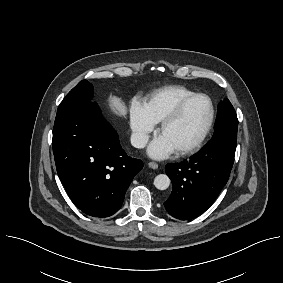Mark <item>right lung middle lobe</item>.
<instances>
[{
    "mask_svg": "<svg viewBox=\"0 0 283 283\" xmlns=\"http://www.w3.org/2000/svg\"><path fill=\"white\" fill-rule=\"evenodd\" d=\"M93 95V86L87 80L79 82L61 102L57 113L69 109L78 104L88 102Z\"/></svg>",
    "mask_w": 283,
    "mask_h": 283,
    "instance_id": "1",
    "label": "right lung middle lobe"
}]
</instances>
